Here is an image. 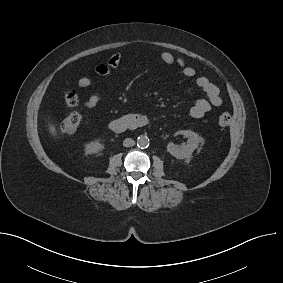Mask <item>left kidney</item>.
<instances>
[{
	"instance_id": "1",
	"label": "left kidney",
	"mask_w": 283,
	"mask_h": 283,
	"mask_svg": "<svg viewBox=\"0 0 283 283\" xmlns=\"http://www.w3.org/2000/svg\"><path fill=\"white\" fill-rule=\"evenodd\" d=\"M177 134H182L188 138L187 143L177 146L170 142L167 145V151L177 159H190L193 151L198 148L201 137L191 130H180Z\"/></svg>"
}]
</instances>
